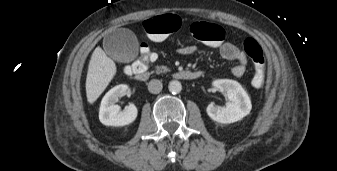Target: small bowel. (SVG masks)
<instances>
[{
	"instance_id": "obj_1",
	"label": "small bowel",
	"mask_w": 337,
	"mask_h": 171,
	"mask_svg": "<svg viewBox=\"0 0 337 171\" xmlns=\"http://www.w3.org/2000/svg\"><path fill=\"white\" fill-rule=\"evenodd\" d=\"M196 51L193 45L181 47L178 52L182 55H191ZM219 52L222 58L227 61H235L237 64L232 68V74L240 77L244 74L248 63L246 54L241 51L235 44L230 41L222 43L219 47Z\"/></svg>"
}]
</instances>
